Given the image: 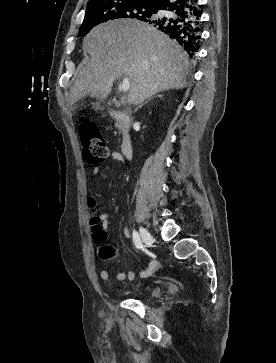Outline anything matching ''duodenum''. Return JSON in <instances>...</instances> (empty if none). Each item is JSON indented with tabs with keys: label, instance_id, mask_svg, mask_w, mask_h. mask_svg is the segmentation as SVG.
Here are the masks:
<instances>
[{
	"label": "duodenum",
	"instance_id": "duodenum-1",
	"mask_svg": "<svg viewBox=\"0 0 276 363\" xmlns=\"http://www.w3.org/2000/svg\"><path fill=\"white\" fill-rule=\"evenodd\" d=\"M109 115L120 122L123 133L121 139L122 155L125 159H131L133 155V143L130 134L131 116L128 111L122 109H109Z\"/></svg>",
	"mask_w": 276,
	"mask_h": 363
}]
</instances>
